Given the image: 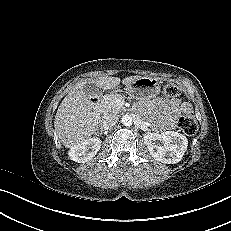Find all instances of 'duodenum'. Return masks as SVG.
<instances>
[{"label":"duodenum","mask_w":231,"mask_h":231,"mask_svg":"<svg viewBox=\"0 0 231 231\" xmlns=\"http://www.w3.org/2000/svg\"><path fill=\"white\" fill-rule=\"evenodd\" d=\"M90 106L91 108L94 110V113L97 112V109L99 107V104H100V98L99 97H96V96H93L90 98Z\"/></svg>","instance_id":"duodenum-1"}]
</instances>
